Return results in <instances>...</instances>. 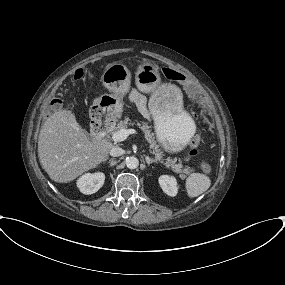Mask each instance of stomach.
Segmentation results:
<instances>
[{
  "label": "stomach",
  "mask_w": 285,
  "mask_h": 285,
  "mask_svg": "<svg viewBox=\"0 0 285 285\" xmlns=\"http://www.w3.org/2000/svg\"><path fill=\"white\" fill-rule=\"evenodd\" d=\"M101 80L112 94L95 99L89 115L97 124H108L122 114V98L130 90L131 72L122 63L109 64ZM135 84L140 92L151 93L149 110L163 148L170 153L183 150L195 133V125L183 110L181 90L173 84H162L158 67L151 63H143L137 68Z\"/></svg>",
  "instance_id": "obj_1"
}]
</instances>
